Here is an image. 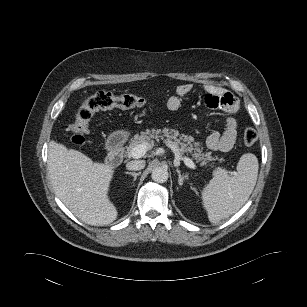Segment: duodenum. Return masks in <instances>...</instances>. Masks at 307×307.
<instances>
[{
  "label": "duodenum",
  "mask_w": 307,
  "mask_h": 307,
  "mask_svg": "<svg viewBox=\"0 0 307 307\" xmlns=\"http://www.w3.org/2000/svg\"><path fill=\"white\" fill-rule=\"evenodd\" d=\"M124 143L125 138L122 134L112 135L108 142L107 148L108 153L106 156V163L110 166L119 165L124 157Z\"/></svg>",
  "instance_id": "duodenum-1"
}]
</instances>
